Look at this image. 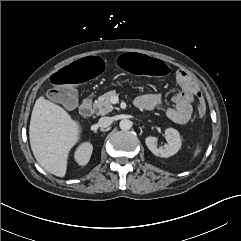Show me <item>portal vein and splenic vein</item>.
I'll list each match as a JSON object with an SVG mask.
<instances>
[{
    "instance_id": "obj_1",
    "label": "portal vein and splenic vein",
    "mask_w": 241,
    "mask_h": 241,
    "mask_svg": "<svg viewBox=\"0 0 241 241\" xmlns=\"http://www.w3.org/2000/svg\"><path fill=\"white\" fill-rule=\"evenodd\" d=\"M111 101H112L113 103H117L118 98H117L116 96H113V97L111 98Z\"/></svg>"
}]
</instances>
